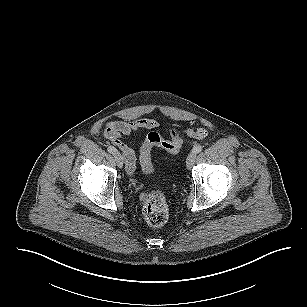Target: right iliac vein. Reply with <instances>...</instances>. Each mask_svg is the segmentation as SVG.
Segmentation results:
<instances>
[{
  "label": "right iliac vein",
  "instance_id": "63e3f726",
  "mask_svg": "<svg viewBox=\"0 0 307 307\" xmlns=\"http://www.w3.org/2000/svg\"><path fill=\"white\" fill-rule=\"evenodd\" d=\"M114 158L117 163V166L119 168H122L123 167V156L119 152H116L114 153Z\"/></svg>",
  "mask_w": 307,
  "mask_h": 307
}]
</instances>
